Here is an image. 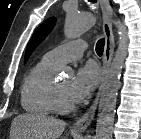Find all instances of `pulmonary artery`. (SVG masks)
<instances>
[{
	"instance_id": "1",
	"label": "pulmonary artery",
	"mask_w": 141,
	"mask_h": 139,
	"mask_svg": "<svg viewBox=\"0 0 141 139\" xmlns=\"http://www.w3.org/2000/svg\"><path fill=\"white\" fill-rule=\"evenodd\" d=\"M86 49L87 43L85 41L76 40L55 47L47 52L44 57L51 63L60 66L80 59Z\"/></svg>"
}]
</instances>
